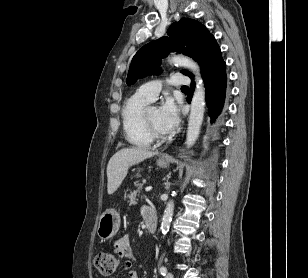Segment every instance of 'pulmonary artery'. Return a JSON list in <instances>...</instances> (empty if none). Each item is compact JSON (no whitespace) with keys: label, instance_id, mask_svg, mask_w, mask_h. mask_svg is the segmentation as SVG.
Returning a JSON list of instances; mask_svg holds the SVG:
<instances>
[{"label":"pulmonary artery","instance_id":"1","mask_svg":"<svg viewBox=\"0 0 308 278\" xmlns=\"http://www.w3.org/2000/svg\"><path fill=\"white\" fill-rule=\"evenodd\" d=\"M170 84L175 87L187 86L190 84L189 77L182 74H175L170 79ZM162 88V83L160 81H151L143 84L137 90V93L149 101H154Z\"/></svg>","mask_w":308,"mask_h":278}]
</instances>
